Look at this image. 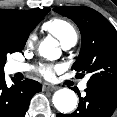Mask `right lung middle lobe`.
Instances as JSON below:
<instances>
[{
    "label": "right lung middle lobe",
    "instance_id": "1",
    "mask_svg": "<svg viewBox=\"0 0 117 117\" xmlns=\"http://www.w3.org/2000/svg\"><path fill=\"white\" fill-rule=\"evenodd\" d=\"M49 10L42 11L36 18V25ZM29 32L15 22L0 20V71L4 73L6 56L9 53L20 52L25 46Z\"/></svg>",
    "mask_w": 117,
    "mask_h": 117
}]
</instances>
